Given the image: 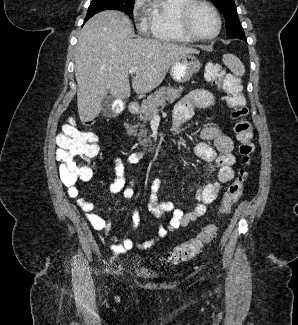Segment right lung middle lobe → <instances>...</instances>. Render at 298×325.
Segmentation results:
<instances>
[{"mask_svg":"<svg viewBox=\"0 0 298 325\" xmlns=\"http://www.w3.org/2000/svg\"><path fill=\"white\" fill-rule=\"evenodd\" d=\"M133 6L134 0H92L88 8L85 20H88L90 17L100 11L110 9L119 10L126 13H132Z\"/></svg>","mask_w":298,"mask_h":325,"instance_id":"obj_1","label":"right lung middle lobe"}]
</instances>
